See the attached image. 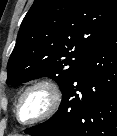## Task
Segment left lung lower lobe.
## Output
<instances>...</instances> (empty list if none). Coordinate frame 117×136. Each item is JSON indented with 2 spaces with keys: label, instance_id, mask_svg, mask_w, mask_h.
<instances>
[{
  "label": "left lung lower lobe",
  "instance_id": "left-lung-lower-lobe-1",
  "mask_svg": "<svg viewBox=\"0 0 117 136\" xmlns=\"http://www.w3.org/2000/svg\"><path fill=\"white\" fill-rule=\"evenodd\" d=\"M62 94L58 111L24 130L26 134L117 136V23L89 52Z\"/></svg>",
  "mask_w": 117,
  "mask_h": 136
}]
</instances>
